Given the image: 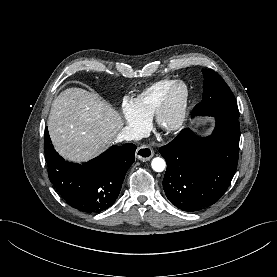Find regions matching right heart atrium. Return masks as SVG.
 <instances>
[{
	"label": "right heart atrium",
	"instance_id": "obj_1",
	"mask_svg": "<svg viewBox=\"0 0 277 277\" xmlns=\"http://www.w3.org/2000/svg\"><path fill=\"white\" fill-rule=\"evenodd\" d=\"M123 113L127 123V128L132 133L138 134L145 128L146 120L134 111L131 102L128 100L123 103Z\"/></svg>",
	"mask_w": 277,
	"mask_h": 277
}]
</instances>
